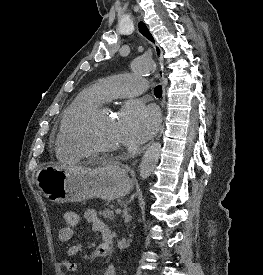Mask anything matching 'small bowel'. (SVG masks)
Listing matches in <instances>:
<instances>
[{
  "label": "small bowel",
  "instance_id": "1",
  "mask_svg": "<svg viewBox=\"0 0 263 275\" xmlns=\"http://www.w3.org/2000/svg\"><path fill=\"white\" fill-rule=\"evenodd\" d=\"M84 219L89 223L94 232L102 237V242L95 248L93 252L94 258H105L112 252V235L109 227L98 217L97 211L88 209L84 212ZM74 236L72 226H65L59 230L58 237L61 242H69ZM83 249V243H77L70 246L63 258L60 260V267L70 275H75L78 269L75 262V256ZM104 275H117L116 268L113 264H108L105 268Z\"/></svg>",
  "mask_w": 263,
  "mask_h": 275
}]
</instances>
